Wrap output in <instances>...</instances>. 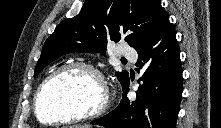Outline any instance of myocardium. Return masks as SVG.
<instances>
[{"label":"myocardium","instance_id":"obj_1","mask_svg":"<svg viewBox=\"0 0 221 128\" xmlns=\"http://www.w3.org/2000/svg\"><path fill=\"white\" fill-rule=\"evenodd\" d=\"M76 69H81V70L87 71L95 77V79L100 87V91H101L99 100L94 105H92L91 109H86L83 112L73 114V115H68L63 118H55V119H52L49 121H45L40 116V113H39V102H40V99H41V96H42V93H43L45 87L54 78L66 73L68 71L76 70ZM108 104H109V92H108V88H107L106 82L104 80V77L102 76L100 71L89 63L71 62V63L65 64V65L59 67L58 69L54 70L40 83V85L38 86L37 92L35 94V97H34V114H35L37 120L41 123H44V124H49V125L67 124V123L77 122V121H81V120H85V119H89V118L99 117L100 115H102L106 111Z\"/></svg>","mask_w":221,"mask_h":128}]
</instances>
